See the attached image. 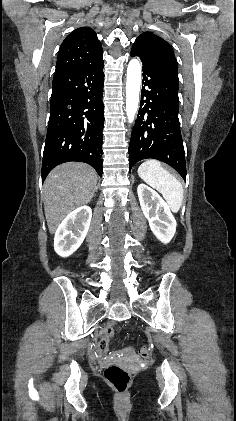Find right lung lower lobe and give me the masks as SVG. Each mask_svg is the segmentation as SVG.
<instances>
[{
  "label": "right lung lower lobe",
  "instance_id": "1",
  "mask_svg": "<svg viewBox=\"0 0 236 421\" xmlns=\"http://www.w3.org/2000/svg\"><path fill=\"white\" fill-rule=\"evenodd\" d=\"M103 58L55 74L42 161V182L55 166L90 164L102 176Z\"/></svg>",
  "mask_w": 236,
  "mask_h": 421
}]
</instances>
